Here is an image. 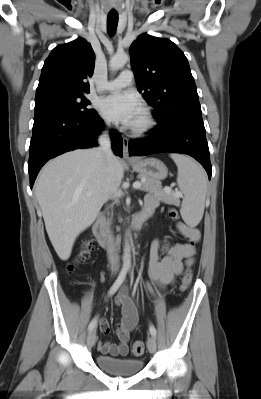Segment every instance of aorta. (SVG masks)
<instances>
[{"label": "aorta", "mask_w": 261, "mask_h": 399, "mask_svg": "<svg viewBox=\"0 0 261 399\" xmlns=\"http://www.w3.org/2000/svg\"><path fill=\"white\" fill-rule=\"evenodd\" d=\"M129 61V56L126 53L116 54L111 57L109 61V66L112 70H119L121 69L127 62ZM128 237L130 235L128 234ZM124 265L130 266L131 265V245L129 240H125L124 245Z\"/></svg>", "instance_id": "aorta-1"}]
</instances>
